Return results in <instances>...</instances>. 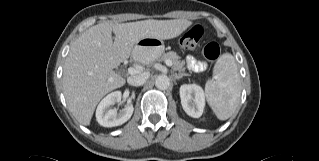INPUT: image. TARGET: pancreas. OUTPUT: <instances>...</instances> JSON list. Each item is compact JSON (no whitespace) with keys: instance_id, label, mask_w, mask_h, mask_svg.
<instances>
[{"instance_id":"obj_1","label":"pancreas","mask_w":319,"mask_h":161,"mask_svg":"<svg viewBox=\"0 0 319 161\" xmlns=\"http://www.w3.org/2000/svg\"><path fill=\"white\" fill-rule=\"evenodd\" d=\"M160 60L171 61L172 68L175 71L181 72L185 70V67H184L185 62L180 60V57L177 55L176 52L170 51V52L164 53L163 55L160 56Z\"/></svg>"}]
</instances>
